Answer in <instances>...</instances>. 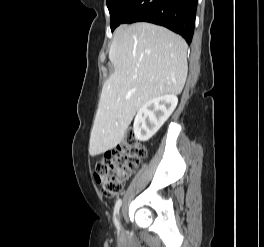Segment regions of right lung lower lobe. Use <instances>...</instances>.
<instances>
[{
  "label": "right lung lower lobe",
  "mask_w": 264,
  "mask_h": 247,
  "mask_svg": "<svg viewBox=\"0 0 264 247\" xmlns=\"http://www.w3.org/2000/svg\"><path fill=\"white\" fill-rule=\"evenodd\" d=\"M197 0H131L118 18L122 23L150 22L180 34L191 43Z\"/></svg>",
  "instance_id": "right-lung-lower-lobe-1"
}]
</instances>
